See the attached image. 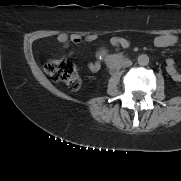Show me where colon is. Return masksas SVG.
Returning <instances> with one entry per match:
<instances>
[{"label": "colon", "mask_w": 181, "mask_h": 181, "mask_svg": "<svg viewBox=\"0 0 181 181\" xmlns=\"http://www.w3.org/2000/svg\"><path fill=\"white\" fill-rule=\"evenodd\" d=\"M45 71L53 80L64 83L71 90H77L81 86V78L68 59H49L45 64Z\"/></svg>", "instance_id": "obj_1"}]
</instances>
